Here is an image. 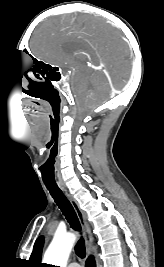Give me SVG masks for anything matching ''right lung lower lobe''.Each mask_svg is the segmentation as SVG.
<instances>
[{"label": "right lung lower lobe", "mask_w": 164, "mask_h": 267, "mask_svg": "<svg viewBox=\"0 0 164 267\" xmlns=\"http://www.w3.org/2000/svg\"><path fill=\"white\" fill-rule=\"evenodd\" d=\"M86 267H96L93 256H90L86 261Z\"/></svg>", "instance_id": "right-lung-lower-lobe-1"}]
</instances>
